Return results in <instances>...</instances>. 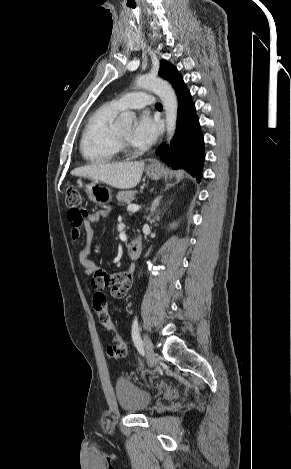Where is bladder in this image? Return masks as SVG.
I'll return each mask as SVG.
<instances>
[{"label": "bladder", "instance_id": "bladder-1", "mask_svg": "<svg viewBox=\"0 0 291 469\" xmlns=\"http://www.w3.org/2000/svg\"><path fill=\"white\" fill-rule=\"evenodd\" d=\"M115 396L120 408L131 414L146 411L152 403V396L147 391L122 377L116 381Z\"/></svg>", "mask_w": 291, "mask_h": 469}]
</instances>
